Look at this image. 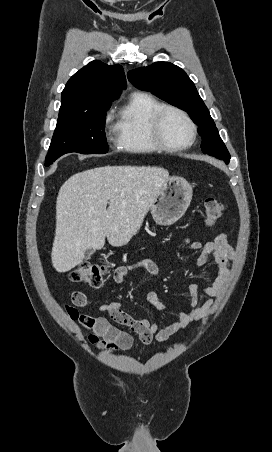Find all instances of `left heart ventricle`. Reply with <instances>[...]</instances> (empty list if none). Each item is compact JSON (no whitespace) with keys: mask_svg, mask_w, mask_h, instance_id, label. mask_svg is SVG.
I'll use <instances>...</instances> for the list:
<instances>
[{"mask_svg":"<svg viewBox=\"0 0 272 452\" xmlns=\"http://www.w3.org/2000/svg\"><path fill=\"white\" fill-rule=\"evenodd\" d=\"M162 132L165 140L173 145L183 144L190 139V128L178 113L168 111L162 120Z\"/></svg>","mask_w":272,"mask_h":452,"instance_id":"obj_1","label":"left heart ventricle"}]
</instances>
